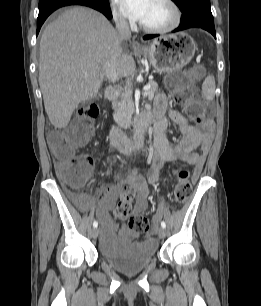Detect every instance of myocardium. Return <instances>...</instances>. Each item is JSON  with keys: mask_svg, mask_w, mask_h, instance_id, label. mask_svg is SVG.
<instances>
[{"mask_svg": "<svg viewBox=\"0 0 261 306\" xmlns=\"http://www.w3.org/2000/svg\"><path fill=\"white\" fill-rule=\"evenodd\" d=\"M161 2L169 7L172 14L171 20L167 24L161 26H149L139 22V27L143 31L152 34H162L171 32L180 25L182 20V12L177 3L174 0H161Z\"/></svg>", "mask_w": 261, "mask_h": 306, "instance_id": "1", "label": "myocardium"}]
</instances>
